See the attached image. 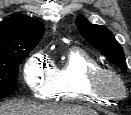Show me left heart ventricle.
<instances>
[{
	"mask_svg": "<svg viewBox=\"0 0 131 115\" xmlns=\"http://www.w3.org/2000/svg\"><path fill=\"white\" fill-rule=\"evenodd\" d=\"M106 83H107V85L110 86V87L113 86V83H112L110 80H107Z\"/></svg>",
	"mask_w": 131,
	"mask_h": 115,
	"instance_id": "obj_1",
	"label": "left heart ventricle"
}]
</instances>
